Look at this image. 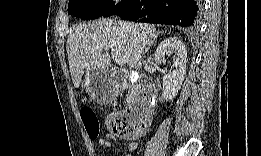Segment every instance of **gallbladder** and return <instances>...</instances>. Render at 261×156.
I'll return each instance as SVG.
<instances>
[{
    "mask_svg": "<svg viewBox=\"0 0 261 156\" xmlns=\"http://www.w3.org/2000/svg\"><path fill=\"white\" fill-rule=\"evenodd\" d=\"M133 74H130L131 76H129V80H130V84H136V82H138V78L139 75H137L138 73L136 72H132ZM128 86H133V85H128ZM129 89H134V87H128ZM129 91V90H126Z\"/></svg>",
    "mask_w": 261,
    "mask_h": 156,
    "instance_id": "gallbladder-1",
    "label": "gallbladder"
}]
</instances>
